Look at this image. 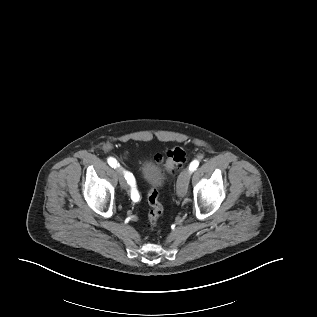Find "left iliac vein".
Returning <instances> with one entry per match:
<instances>
[{"label": "left iliac vein", "instance_id": "obj_1", "mask_svg": "<svg viewBox=\"0 0 317 317\" xmlns=\"http://www.w3.org/2000/svg\"><path fill=\"white\" fill-rule=\"evenodd\" d=\"M190 178V171L188 169H184L177 180L176 192L178 197L182 198L185 195L187 185Z\"/></svg>", "mask_w": 317, "mask_h": 317}]
</instances>
